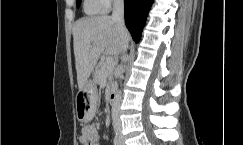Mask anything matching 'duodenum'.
Instances as JSON below:
<instances>
[{"label": "duodenum", "instance_id": "duodenum-1", "mask_svg": "<svg viewBox=\"0 0 243 145\" xmlns=\"http://www.w3.org/2000/svg\"><path fill=\"white\" fill-rule=\"evenodd\" d=\"M116 100V89L115 87H111L108 93V101L110 104H114Z\"/></svg>", "mask_w": 243, "mask_h": 145}]
</instances>
